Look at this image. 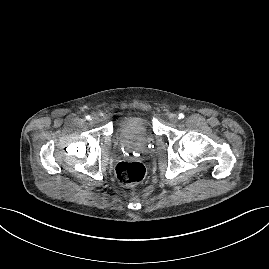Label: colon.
Instances as JSON below:
<instances>
[{
	"instance_id": "colon-1",
	"label": "colon",
	"mask_w": 269,
	"mask_h": 269,
	"mask_svg": "<svg viewBox=\"0 0 269 269\" xmlns=\"http://www.w3.org/2000/svg\"><path fill=\"white\" fill-rule=\"evenodd\" d=\"M115 176L120 184L134 186L144 178L145 168L138 161H122L115 167Z\"/></svg>"
}]
</instances>
